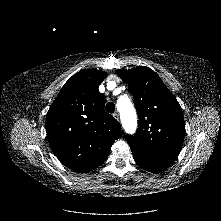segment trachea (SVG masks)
I'll return each mask as SVG.
<instances>
[{
  "mask_svg": "<svg viewBox=\"0 0 221 221\" xmlns=\"http://www.w3.org/2000/svg\"><path fill=\"white\" fill-rule=\"evenodd\" d=\"M108 113H113L115 111V105L112 102H108L105 107Z\"/></svg>",
  "mask_w": 221,
  "mask_h": 221,
  "instance_id": "trachea-1",
  "label": "trachea"
}]
</instances>
